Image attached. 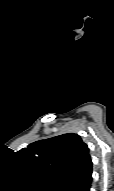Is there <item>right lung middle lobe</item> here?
<instances>
[{"label":"right lung middle lobe","instance_id":"dd1d6c3e","mask_svg":"<svg viewBox=\"0 0 114 191\" xmlns=\"http://www.w3.org/2000/svg\"><path fill=\"white\" fill-rule=\"evenodd\" d=\"M43 190H45V191H57L58 188L57 187H50V188H44Z\"/></svg>","mask_w":114,"mask_h":191}]
</instances>
